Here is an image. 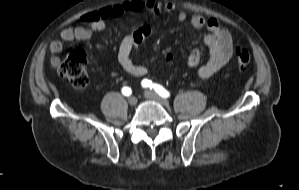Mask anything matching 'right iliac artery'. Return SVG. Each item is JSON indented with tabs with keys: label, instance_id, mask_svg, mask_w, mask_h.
I'll list each match as a JSON object with an SVG mask.
<instances>
[{
	"label": "right iliac artery",
	"instance_id": "right-iliac-artery-1",
	"mask_svg": "<svg viewBox=\"0 0 299 190\" xmlns=\"http://www.w3.org/2000/svg\"><path fill=\"white\" fill-rule=\"evenodd\" d=\"M132 91H131V88L129 87H123L122 88V94L125 95V96H129L131 95Z\"/></svg>",
	"mask_w": 299,
	"mask_h": 190
}]
</instances>
